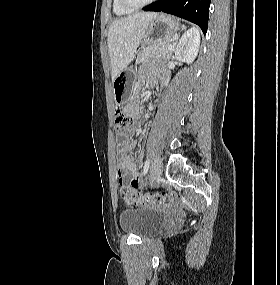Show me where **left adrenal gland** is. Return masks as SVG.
I'll use <instances>...</instances> for the list:
<instances>
[{
  "instance_id": "a2214340",
  "label": "left adrenal gland",
  "mask_w": 280,
  "mask_h": 285,
  "mask_svg": "<svg viewBox=\"0 0 280 285\" xmlns=\"http://www.w3.org/2000/svg\"><path fill=\"white\" fill-rule=\"evenodd\" d=\"M184 29H186V26H185V25L181 26V30H184ZM178 38H179V37L176 38L174 45H176V43H177V41H178Z\"/></svg>"
}]
</instances>
